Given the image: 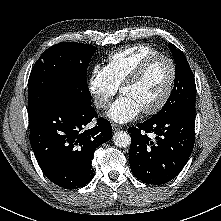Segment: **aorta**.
<instances>
[{
  "mask_svg": "<svg viewBox=\"0 0 221 221\" xmlns=\"http://www.w3.org/2000/svg\"><path fill=\"white\" fill-rule=\"evenodd\" d=\"M113 142L118 147L126 148L130 146L131 138L129 133L125 131H118L113 135Z\"/></svg>",
  "mask_w": 221,
  "mask_h": 221,
  "instance_id": "762f6f07",
  "label": "aorta"
}]
</instances>
